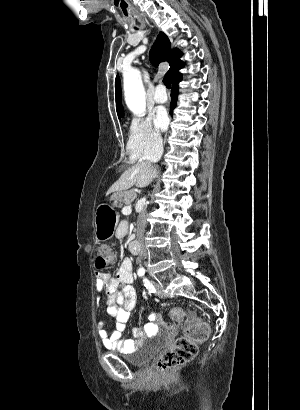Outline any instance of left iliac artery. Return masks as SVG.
<instances>
[{"instance_id":"obj_1","label":"left iliac artery","mask_w":300,"mask_h":410,"mask_svg":"<svg viewBox=\"0 0 300 410\" xmlns=\"http://www.w3.org/2000/svg\"><path fill=\"white\" fill-rule=\"evenodd\" d=\"M143 282H144L145 287L148 289V291L150 293H155L156 292V289H155L154 285L152 284V282L149 279L144 278Z\"/></svg>"}]
</instances>
